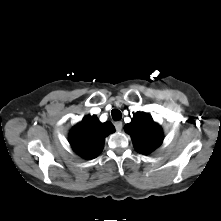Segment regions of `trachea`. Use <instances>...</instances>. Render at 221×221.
<instances>
[{
    "label": "trachea",
    "mask_w": 221,
    "mask_h": 221,
    "mask_svg": "<svg viewBox=\"0 0 221 221\" xmlns=\"http://www.w3.org/2000/svg\"><path fill=\"white\" fill-rule=\"evenodd\" d=\"M111 115L114 121H118L122 118V113L118 109H113Z\"/></svg>",
    "instance_id": "1"
}]
</instances>
